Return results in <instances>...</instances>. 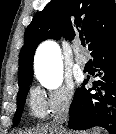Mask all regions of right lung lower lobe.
I'll return each mask as SVG.
<instances>
[{
	"label": "right lung lower lobe",
	"instance_id": "right-lung-lower-lobe-1",
	"mask_svg": "<svg viewBox=\"0 0 116 134\" xmlns=\"http://www.w3.org/2000/svg\"><path fill=\"white\" fill-rule=\"evenodd\" d=\"M91 56L100 79L86 89L75 92L69 110L68 127L86 130L94 126L106 128L116 134V36L94 48Z\"/></svg>",
	"mask_w": 116,
	"mask_h": 134
}]
</instances>
